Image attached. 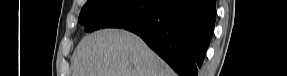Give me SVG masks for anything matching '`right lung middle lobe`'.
Listing matches in <instances>:
<instances>
[{
  "label": "right lung middle lobe",
  "mask_w": 287,
  "mask_h": 76,
  "mask_svg": "<svg viewBox=\"0 0 287 76\" xmlns=\"http://www.w3.org/2000/svg\"><path fill=\"white\" fill-rule=\"evenodd\" d=\"M159 4L160 0H90L83 6L79 22L86 32L125 28L147 20Z\"/></svg>",
  "instance_id": "obj_1"
}]
</instances>
